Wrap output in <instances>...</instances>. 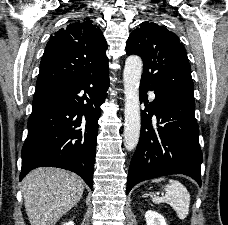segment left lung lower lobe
Here are the masks:
<instances>
[{
  "label": "left lung lower lobe",
  "instance_id": "0a47b994",
  "mask_svg": "<svg viewBox=\"0 0 228 225\" xmlns=\"http://www.w3.org/2000/svg\"><path fill=\"white\" fill-rule=\"evenodd\" d=\"M147 90L156 95L150 104ZM139 95L146 108L141 112L140 140L130 163L126 194L139 182L171 174L190 176L201 186L202 152L195 102L160 93L144 82ZM153 115L157 127L151 125Z\"/></svg>",
  "mask_w": 228,
  "mask_h": 225
}]
</instances>
